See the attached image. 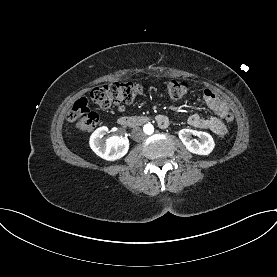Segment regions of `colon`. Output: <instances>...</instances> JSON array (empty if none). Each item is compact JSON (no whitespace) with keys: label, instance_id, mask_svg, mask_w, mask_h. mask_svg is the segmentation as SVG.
<instances>
[{"label":"colon","instance_id":"colon-1","mask_svg":"<svg viewBox=\"0 0 277 277\" xmlns=\"http://www.w3.org/2000/svg\"><path fill=\"white\" fill-rule=\"evenodd\" d=\"M143 91L141 84L133 81L116 82L93 88L89 93V99L102 108H108L115 104L130 103L134 101ZM166 91L172 100H180L188 95L190 85L179 79H170L166 83ZM68 120L75 122L81 131L92 130L98 123V115L90 111L88 99H78L67 114ZM224 120L228 123L235 121V114L227 112Z\"/></svg>","mask_w":277,"mask_h":277}]
</instances>
